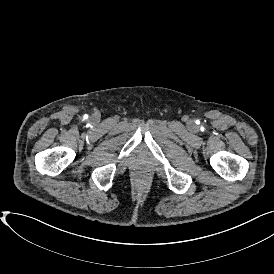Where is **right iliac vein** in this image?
Returning a JSON list of instances; mask_svg holds the SVG:
<instances>
[{"instance_id":"right-iliac-vein-1","label":"right iliac vein","mask_w":274,"mask_h":274,"mask_svg":"<svg viewBox=\"0 0 274 274\" xmlns=\"http://www.w3.org/2000/svg\"><path fill=\"white\" fill-rule=\"evenodd\" d=\"M97 118H98V117L95 115L93 119L96 120Z\"/></svg>"}]
</instances>
